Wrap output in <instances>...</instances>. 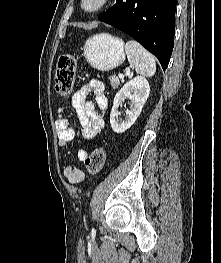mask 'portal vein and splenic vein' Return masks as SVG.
<instances>
[{"mask_svg":"<svg viewBox=\"0 0 221 263\" xmlns=\"http://www.w3.org/2000/svg\"><path fill=\"white\" fill-rule=\"evenodd\" d=\"M118 77H119L120 79H123V78L125 77V75L122 74V73H119V74H118Z\"/></svg>","mask_w":221,"mask_h":263,"instance_id":"portal-vein-and-splenic-vein-1","label":"portal vein and splenic vein"}]
</instances>
